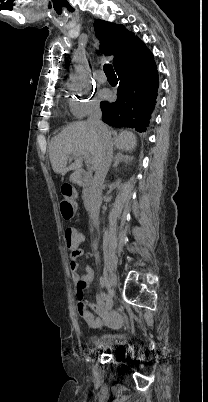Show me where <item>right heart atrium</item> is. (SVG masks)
I'll list each match as a JSON object with an SVG mask.
<instances>
[{
    "label": "right heart atrium",
    "mask_w": 208,
    "mask_h": 402,
    "mask_svg": "<svg viewBox=\"0 0 208 402\" xmlns=\"http://www.w3.org/2000/svg\"><path fill=\"white\" fill-rule=\"evenodd\" d=\"M72 112L77 118H83L100 106L96 89L92 85H73Z\"/></svg>",
    "instance_id": "obj_1"
}]
</instances>
